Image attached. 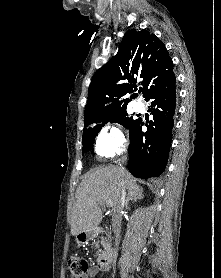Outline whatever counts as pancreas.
Listing matches in <instances>:
<instances>
[{
	"instance_id": "pancreas-1",
	"label": "pancreas",
	"mask_w": 221,
	"mask_h": 278,
	"mask_svg": "<svg viewBox=\"0 0 221 278\" xmlns=\"http://www.w3.org/2000/svg\"><path fill=\"white\" fill-rule=\"evenodd\" d=\"M100 243L102 244V246H103L104 248H107V247L109 246V242L107 241L106 238H102V240H101ZM98 244H99V241H98L97 244H96V247H97V249H98L97 253L99 254V252H101V250L99 249Z\"/></svg>"
}]
</instances>
